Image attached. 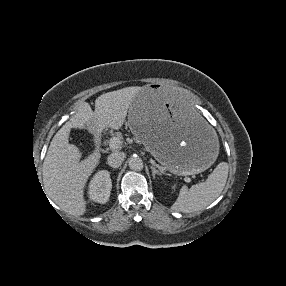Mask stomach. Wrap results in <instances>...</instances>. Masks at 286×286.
<instances>
[{
    "label": "stomach",
    "mask_w": 286,
    "mask_h": 286,
    "mask_svg": "<svg viewBox=\"0 0 286 286\" xmlns=\"http://www.w3.org/2000/svg\"><path fill=\"white\" fill-rule=\"evenodd\" d=\"M128 126L173 174L201 173L217 158L216 130L175 88L159 83L141 87L129 108Z\"/></svg>",
    "instance_id": "0dacf381"
}]
</instances>
